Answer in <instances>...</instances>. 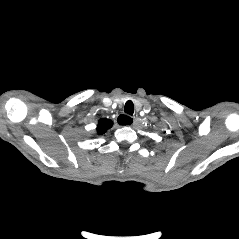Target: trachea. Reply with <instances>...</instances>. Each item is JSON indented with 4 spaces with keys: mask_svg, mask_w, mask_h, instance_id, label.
<instances>
[{
    "mask_svg": "<svg viewBox=\"0 0 239 239\" xmlns=\"http://www.w3.org/2000/svg\"><path fill=\"white\" fill-rule=\"evenodd\" d=\"M124 112L129 114V115H133L134 113V104L131 100H128L125 104V108H124Z\"/></svg>",
    "mask_w": 239,
    "mask_h": 239,
    "instance_id": "obj_1",
    "label": "trachea"
}]
</instances>
